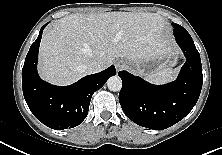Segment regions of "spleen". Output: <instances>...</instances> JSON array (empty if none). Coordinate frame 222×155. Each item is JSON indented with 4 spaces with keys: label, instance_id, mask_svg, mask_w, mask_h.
<instances>
[{
    "label": "spleen",
    "instance_id": "3e777b00",
    "mask_svg": "<svg viewBox=\"0 0 222 155\" xmlns=\"http://www.w3.org/2000/svg\"><path fill=\"white\" fill-rule=\"evenodd\" d=\"M175 71L170 68H164L158 72L147 75L146 79L156 84H164L173 80Z\"/></svg>",
    "mask_w": 222,
    "mask_h": 155
}]
</instances>
